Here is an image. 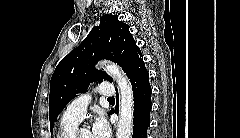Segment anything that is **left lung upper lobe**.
I'll return each instance as SVG.
<instances>
[{
	"mask_svg": "<svg viewBox=\"0 0 240 138\" xmlns=\"http://www.w3.org/2000/svg\"><path fill=\"white\" fill-rule=\"evenodd\" d=\"M117 18V15H103L100 25L94 27L81 44L57 65L50 81V130L63 108L77 94L85 92L91 82L112 80L105 72L95 69L99 60L109 59L127 73L141 52L129 32V25Z\"/></svg>",
	"mask_w": 240,
	"mask_h": 138,
	"instance_id": "5c2ea615",
	"label": "left lung upper lobe"
}]
</instances>
